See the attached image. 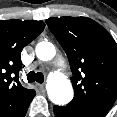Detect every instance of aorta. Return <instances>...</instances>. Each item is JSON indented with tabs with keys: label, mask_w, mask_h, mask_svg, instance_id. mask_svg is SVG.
<instances>
[{
	"label": "aorta",
	"mask_w": 117,
	"mask_h": 117,
	"mask_svg": "<svg viewBox=\"0 0 117 117\" xmlns=\"http://www.w3.org/2000/svg\"><path fill=\"white\" fill-rule=\"evenodd\" d=\"M56 50L52 43L43 41L36 46V56L43 61H49L55 56ZM49 99L56 105H66L73 98V87L68 78L62 73H54L47 81Z\"/></svg>",
	"instance_id": "1"
}]
</instances>
